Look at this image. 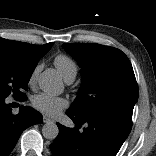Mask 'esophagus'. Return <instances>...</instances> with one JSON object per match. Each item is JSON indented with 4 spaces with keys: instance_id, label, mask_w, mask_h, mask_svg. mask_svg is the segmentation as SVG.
<instances>
[{
    "instance_id": "1",
    "label": "esophagus",
    "mask_w": 156,
    "mask_h": 156,
    "mask_svg": "<svg viewBox=\"0 0 156 156\" xmlns=\"http://www.w3.org/2000/svg\"><path fill=\"white\" fill-rule=\"evenodd\" d=\"M43 122H44V123H50V122H53V120L50 119L49 117L43 115Z\"/></svg>"
}]
</instances>
